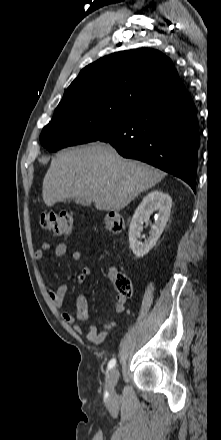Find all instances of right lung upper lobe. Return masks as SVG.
Instances as JSON below:
<instances>
[{
    "label": "right lung upper lobe",
    "instance_id": "right-lung-upper-lobe-1",
    "mask_svg": "<svg viewBox=\"0 0 221 440\" xmlns=\"http://www.w3.org/2000/svg\"><path fill=\"white\" fill-rule=\"evenodd\" d=\"M184 88L177 71L161 52L141 48L105 56L86 66L65 91L58 107L108 101L137 109Z\"/></svg>",
    "mask_w": 221,
    "mask_h": 440
}]
</instances>
